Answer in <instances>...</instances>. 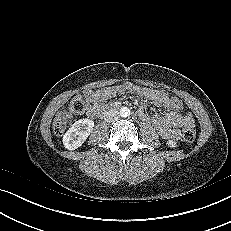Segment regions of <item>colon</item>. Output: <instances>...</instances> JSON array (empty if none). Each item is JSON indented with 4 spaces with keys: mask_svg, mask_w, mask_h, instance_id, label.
I'll return each mask as SVG.
<instances>
[{
    "mask_svg": "<svg viewBox=\"0 0 231 231\" xmlns=\"http://www.w3.org/2000/svg\"><path fill=\"white\" fill-rule=\"evenodd\" d=\"M171 106L176 110H181L183 103L178 97L170 98ZM86 110V103L82 96H75L69 105V110L59 112L53 121V130L56 135H62L69 123L71 113L82 114ZM183 140L192 142L196 137V131L193 126H186L182 133Z\"/></svg>",
    "mask_w": 231,
    "mask_h": 231,
    "instance_id": "obj_1",
    "label": "colon"
}]
</instances>
